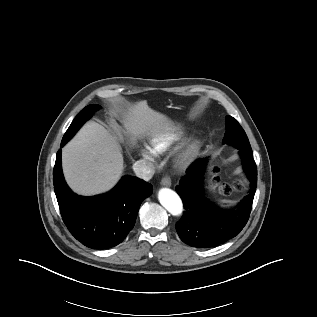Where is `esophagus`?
<instances>
[{
  "label": "esophagus",
  "mask_w": 317,
  "mask_h": 317,
  "mask_svg": "<svg viewBox=\"0 0 317 317\" xmlns=\"http://www.w3.org/2000/svg\"><path fill=\"white\" fill-rule=\"evenodd\" d=\"M161 185L165 187H170L171 186V179L168 176H165L161 180Z\"/></svg>",
  "instance_id": "34e87169"
}]
</instances>
